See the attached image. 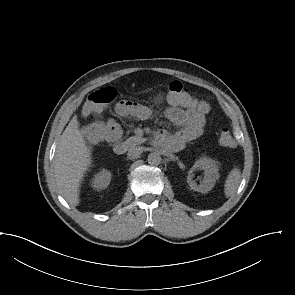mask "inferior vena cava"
I'll use <instances>...</instances> for the list:
<instances>
[{
    "mask_svg": "<svg viewBox=\"0 0 295 295\" xmlns=\"http://www.w3.org/2000/svg\"><path fill=\"white\" fill-rule=\"evenodd\" d=\"M143 151H144V148L143 147H140V146H138V147H132V148L129 149L128 155L130 157H138V156L141 155V153Z\"/></svg>",
    "mask_w": 295,
    "mask_h": 295,
    "instance_id": "602c4592",
    "label": "inferior vena cava"
}]
</instances>
